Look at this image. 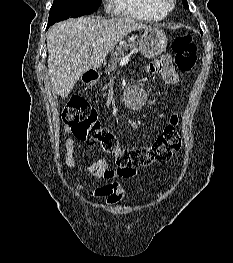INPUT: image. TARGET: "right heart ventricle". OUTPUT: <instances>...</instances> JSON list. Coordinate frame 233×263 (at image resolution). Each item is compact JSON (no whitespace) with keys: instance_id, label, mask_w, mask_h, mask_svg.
<instances>
[{"instance_id":"1","label":"right heart ventricle","mask_w":233,"mask_h":263,"mask_svg":"<svg viewBox=\"0 0 233 263\" xmlns=\"http://www.w3.org/2000/svg\"><path fill=\"white\" fill-rule=\"evenodd\" d=\"M114 7L118 13L139 20L159 21L166 16L159 0H114Z\"/></svg>"}]
</instances>
